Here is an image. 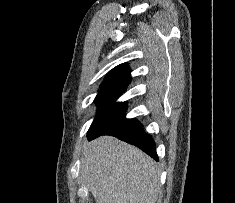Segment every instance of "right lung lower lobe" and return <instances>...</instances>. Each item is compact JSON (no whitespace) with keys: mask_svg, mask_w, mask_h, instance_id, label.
I'll list each match as a JSON object with an SVG mask.
<instances>
[{"mask_svg":"<svg viewBox=\"0 0 235 203\" xmlns=\"http://www.w3.org/2000/svg\"><path fill=\"white\" fill-rule=\"evenodd\" d=\"M126 109L107 119L88 133V139L92 140L101 135L115 136L120 140L133 144L146 152L149 156L158 160L155 143L144 130L142 124L135 119H126Z\"/></svg>","mask_w":235,"mask_h":203,"instance_id":"right-lung-lower-lobe-1","label":"right lung lower lobe"}]
</instances>
